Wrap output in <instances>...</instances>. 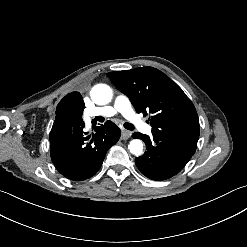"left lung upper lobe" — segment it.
<instances>
[{
    "label": "left lung upper lobe",
    "mask_w": 247,
    "mask_h": 247,
    "mask_svg": "<svg viewBox=\"0 0 247 247\" xmlns=\"http://www.w3.org/2000/svg\"><path fill=\"white\" fill-rule=\"evenodd\" d=\"M127 95L138 113H151L152 134L160 141L193 155L199 138V119L191 100L167 75L153 67L107 74Z\"/></svg>",
    "instance_id": "obj_1"
}]
</instances>
